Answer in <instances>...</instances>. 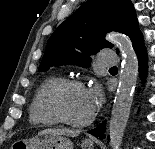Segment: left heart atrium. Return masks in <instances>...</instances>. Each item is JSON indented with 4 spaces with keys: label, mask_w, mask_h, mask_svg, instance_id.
<instances>
[{
    "label": "left heart atrium",
    "mask_w": 155,
    "mask_h": 149,
    "mask_svg": "<svg viewBox=\"0 0 155 149\" xmlns=\"http://www.w3.org/2000/svg\"><path fill=\"white\" fill-rule=\"evenodd\" d=\"M87 97L91 106L92 111L94 112L103 101L102 90L99 86H94L87 90Z\"/></svg>",
    "instance_id": "1"
}]
</instances>
